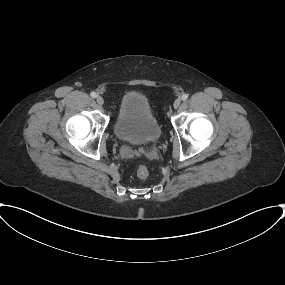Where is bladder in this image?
<instances>
[{"mask_svg":"<svg viewBox=\"0 0 285 285\" xmlns=\"http://www.w3.org/2000/svg\"><path fill=\"white\" fill-rule=\"evenodd\" d=\"M114 132L118 139L135 145H145L159 139L160 124L143 93L130 91L122 97Z\"/></svg>","mask_w":285,"mask_h":285,"instance_id":"31cf9c89","label":"bladder"}]
</instances>
